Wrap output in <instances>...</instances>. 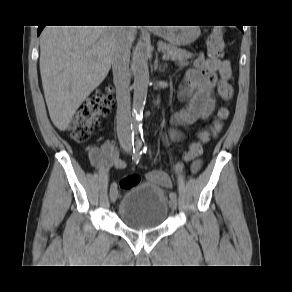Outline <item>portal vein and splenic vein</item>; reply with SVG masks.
Masks as SVG:
<instances>
[{
    "mask_svg": "<svg viewBox=\"0 0 292 292\" xmlns=\"http://www.w3.org/2000/svg\"><path fill=\"white\" fill-rule=\"evenodd\" d=\"M168 58V56H166V55H163V59H167Z\"/></svg>",
    "mask_w": 292,
    "mask_h": 292,
    "instance_id": "1",
    "label": "portal vein and splenic vein"
}]
</instances>
